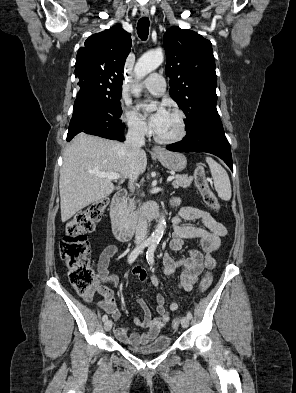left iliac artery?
I'll return each instance as SVG.
<instances>
[{"label":"left iliac artery","mask_w":296,"mask_h":393,"mask_svg":"<svg viewBox=\"0 0 296 393\" xmlns=\"http://www.w3.org/2000/svg\"><path fill=\"white\" fill-rule=\"evenodd\" d=\"M156 247H157V245H156L155 243H151V244L149 245V247H148L147 252H146V258H147V261H148V263H149L150 265H153V264H154V252H155V250H156ZM187 317H188L189 319H191V318H192V313H191V312H188V313H187Z\"/></svg>","instance_id":"1"}]
</instances>
